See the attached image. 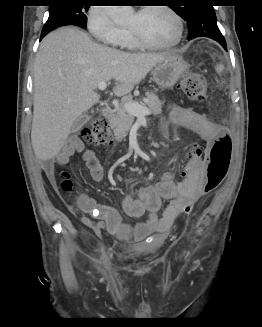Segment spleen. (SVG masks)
I'll use <instances>...</instances> for the list:
<instances>
[{
	"label": "spleen",
	"instance_id": "1",
	"mask_svg": "<svg viewBox=\"0 0 262 327\" xmlns=\"http://www.w3.org/2000/svg\"><path fill=\"white\" fill-rule=\"evenodd\" d=\"M222 70H223V65L219 64V65L216 66L217 73L222 72Z\"/></svg>",
	"mask_w": 262,
	"mask_h": 327
}]
</instances>
